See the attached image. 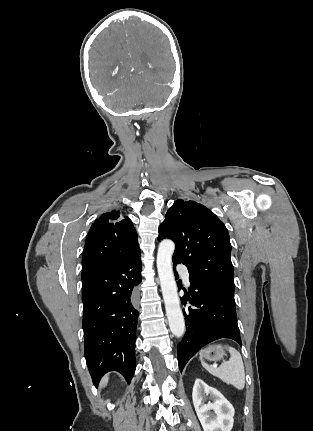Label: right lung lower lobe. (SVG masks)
<instances>
[{
	"label": "right lung lower lobe",
	"mask_w": 313,
	"mask_h": 431,
	"mask_svg": "<svg viewBox=\"0 0 313 431\" xmlns=\"http://www.w3.org/2000/svg\"><path fill=\"white\" fill-rule=\"evenodd\" d=\"M140 273V252L82 269L84 354L95 386L110 371H118L128 383L134 375L138 318L134 290L141 283Z\"/></svg>",
	"instance_id": "obj_1"
}]
</instances>
